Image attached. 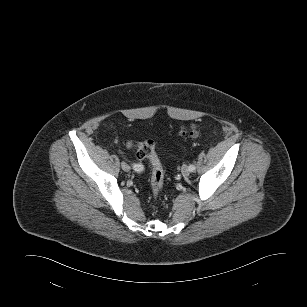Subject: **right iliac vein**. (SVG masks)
<instances>
[{
	"label": "right iliac vein",
	"instance_id": "63e3f726",
	"mask_svg": "<svg viewBox=\"0 0 307 307\" xmlns=\"http://www.w3.org/2000/svg\"><path fill=\"white\" fill-rule=\"evenodd\" d=\"M121 167H122V169H123L125 172L130 171V166H129L127 163H125V162H122V163H121Z\"/></svg>",
	"mask_w": 307,
	"mask_h": 307
}]
</instances>
